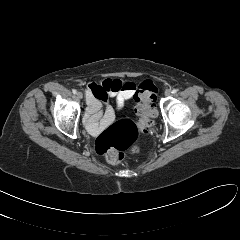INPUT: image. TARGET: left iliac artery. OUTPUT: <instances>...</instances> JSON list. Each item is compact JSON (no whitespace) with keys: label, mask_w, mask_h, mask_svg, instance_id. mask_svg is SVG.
Segmentation results:
<instances>
[{"label":"left iliac artery","mask_w":240,"mask_h":240,"mask_svg":"<svg viewBox=\"0 0 240 240\" xmlns=\"http://www.w3.org/2000/svg\"><path fill=\"white\" fill-rule=\"evenodd\" d=\"M171 92H172L173 94H175V93H177V89H173Z\"/></svg>","instance_id":"44dca946"}]
</instances>
